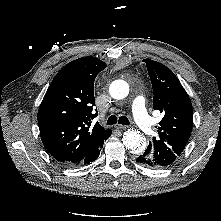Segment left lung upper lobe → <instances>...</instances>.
<instances>
[{"instance_id": "5c2ea615", "label": "left lung upper lobe", "mask_w": 221, "mask_h": 221, "mask_svg": "<svg viewBox=\"0 0 221 221\" xmlns=\"http://www.w3.org/2000/svg\"><path fill=\"white\" fill-rule=\"evenodd\" d=\"M152 82L153 107L163 113L157 127L158 136L153 137L144 154L162 167L172 164L184 150L193 125L190 98L175 74L165 65L144 59Z\"/></svg>"}]
</instances>
